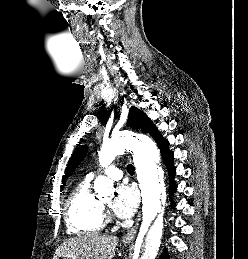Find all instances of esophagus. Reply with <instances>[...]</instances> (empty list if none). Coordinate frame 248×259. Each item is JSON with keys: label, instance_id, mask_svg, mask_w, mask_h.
I'll use <instances>...</instances> for the list:
<instances>
[{"label": "esophagus", "instance_id": "obj_1", "mask_svg": "<svg viewBox=\"0 0 248 259\" xmlns=\"http://www.w3.org/2000/svg\"><path fill=\"white\" fill-rule=\"evenodd\" d=\"M141 220V215L139 214L138 218L136 219L135 224L124 234L122 238V242L127 244L133 242V240L136 237L138 228H139V223Z\"/></svg>", "mask_w": 248, "mask_h": 259}]
</instances>
